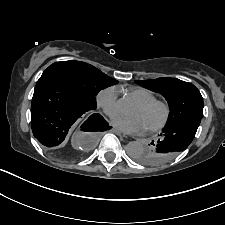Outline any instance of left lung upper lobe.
Returning <instances> with one entry per match:
<instances>
[{"mask_svg":"<svg viewBox=\"0 0 225 225\" xmlns=\"http://www.w3.org/2000/svg\"><path fill=\"white\" fill-rule=\"evenodd\" d=\"M138 85L160 92L168 101L170 113L165 127L191 117H203V98L199 90L191 83L169 77L153 80L135 81ZM144 150L135 159L148 165V156L155 147Z\"/></svg>","mask_w":225,"mask_h":225,"instance_id":"obj_1","label":"left lung upper lobe"}]
</instances>
